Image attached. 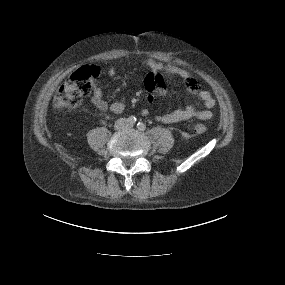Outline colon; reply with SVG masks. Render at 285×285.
I'll list each match as a JSON object with an SVG mask.
<instances>
[{"label":"colon","mask_w":285,"mask_h":285,"mask_svg":"<svg viewBox=\"0 0 285 285\" xmlns=\"http://www.w3.org/2000/svg\"><path fill=\"white\" fill-rule=\"evenodd\" d=\"M98 75L93 65H82L57 90L53 105L57 109L78 107L91 90L92 80ZM192 134H202L206 131L204 124H194L188 128Z\"/></svg>","instance_id":"5ec220e1"}]
</instances>
